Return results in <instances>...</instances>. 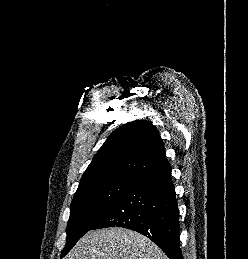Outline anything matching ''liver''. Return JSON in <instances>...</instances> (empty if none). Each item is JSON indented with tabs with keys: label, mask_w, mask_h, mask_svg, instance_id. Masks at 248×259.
Returning <instances> with one entry per match:
<instances>
[{
	"label": "liver",
	"mask_w": 248,
	"mask_h": 259,
	"mask_svg": "<svg viewBox=\"0 0 248 259\" xmlns=\"http://www.w3.org/2000/svg\"><path fill=\"white\" fill-rule=\"evenodd\" d=\"M66 259H168L151 240L135 231L112 227L89 231Z\"/></svg>",
	"instance_id": "liver-1"
}]
</instances>
